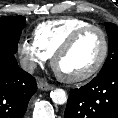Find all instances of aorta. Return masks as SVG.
I'll return each instance as SVG.
<instances>
[{"label": "aorta", "mask_w": 118, "mask_h": 118, "mask_svg": "<svg viewBox=\"0 0 118 118\" xmlns=\"http://www.w3.org/2000/svg\"><path fill=\"white\" fill-rule=\"evenodd\" d=\"M50 97L52 101L56 104L62 105L67 101L66 92L63 89L57 88L50 92Z\"/></svg>", "instance_id": "762f6f07"}]
</instances>
